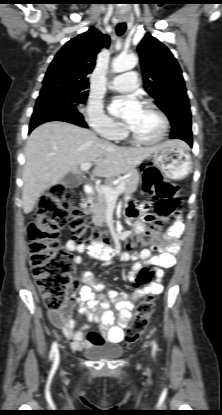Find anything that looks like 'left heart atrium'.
<instances>
[{"label":"left heart atrium","instance_id":"1","mask_svg":"<svg viewBox=\"0 0 222 415\" xmlns=\"http://www.w3.org/2000/svg\"><path fill=\"white\" fill-rule=\"evenodd\" d=\"M141 106L137 99L133 96H126L115 99L110 107V112L120 117L125 124H129L139 113Z\"/></svg>","mask_w":222,"mask_h":415}]
</instances>
